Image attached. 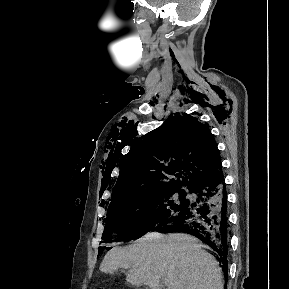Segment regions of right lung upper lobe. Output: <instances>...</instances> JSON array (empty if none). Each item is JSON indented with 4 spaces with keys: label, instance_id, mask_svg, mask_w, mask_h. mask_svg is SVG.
<instances>
[{
    "label": "right lung upper lobe",
    "instance_id": "obj_1",
    "mask_svg": "<svg viewBox=\"0 0 289 289\" xmlns=\"http://www.w3.org/2000/svg\"><path fill=\"white\" fill-rule=\"evenodd\" d=\"M221 171L220 154L209 128L195 117L178 114L130 150L110 205L162 189L186 186L190 190Z\"/></svg>",
    "mask_w": 289,
    "mask_h": 289
}]
</instances>
